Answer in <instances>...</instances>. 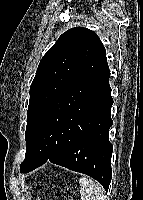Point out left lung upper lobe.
<instances>
[{
  "label": "left lung upper lobe",
  "instance_id": "1",
  "mask_svg": "<svg viewBox=\"0 0 143 200\" xmlns=\"http://www.w3.org/2000/svg\"><path fill=\"white\" fill-rule=\"evenodd\" d=\"M103 49V44L94 31L75 27L64 32L43 56L30 86L25 132L26 154L20 170H24L29 164L33 128L41 112Z\"/></svg>",
  "mask_w": 143,
  "mask_h": 200
}]
</instances>
